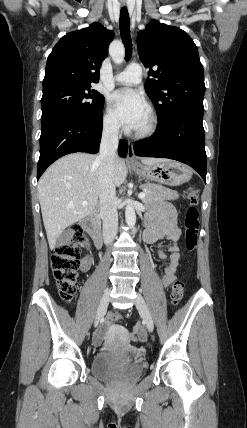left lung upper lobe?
<instances>
[{
  "mask_svg": "<svg viewBox=\"0 0 247 428\" xmlns=\"http://www.w3.org/2000/svg\"><path fill=\"white\" fill-rule=\"evenodd\" d=\"M140 60L149 69L145 91L159 120L176 110L204 112L203 67L197 46L180 28L152 20L137 36Z\"/></svg>",
  "mask_w": 247,
  "mask_h": 428,
  "instance_id": "5c2ea615",
  "label": "left lung upper lobe"
}]
</instances>
